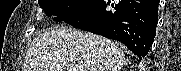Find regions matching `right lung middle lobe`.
I'll use <instances>...</instances> for the list:
<instances>
[{"mask_svg": "<svg viewBox=\"0 0 181 71\" xmlns=\"http://www.w3.org/2000/svg\"><path fill=\"white\" fill-rule=\"evenodd\" d=\"M96 0H40L39 5L48 16L55 15V21H64L87 9Z\"/></svg>", "mask_w": 181, "mask_h": 71, "instance_id": "1", "label": "right lung middle lobe"}]
</instances>
